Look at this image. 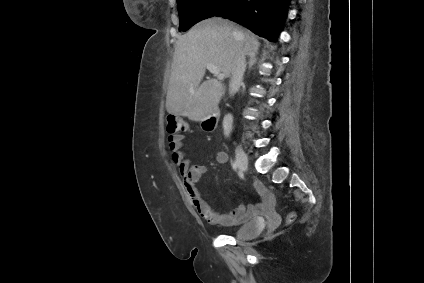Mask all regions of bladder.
I'll use <instances>...</instances> for the list:
<instances>
[{"label":"bladder","instance_id":"bladder-1","mask_svg":"<svg viewBox=\"0 0 424 283\" xmlns=\"http://www.w3.org/2000/svg\"><path fill=\"white\" fill-rule=\"evenodd\" d=\"M264 228V221L260 218H253L247 221L233 232L236 239L249 240L257 237Z\"/></svg>","mask_w":424,"mask_h":283}]
</instances>
